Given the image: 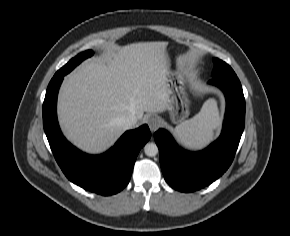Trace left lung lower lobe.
Returning <instances> with one entry per match:
<instances>
[{
  "mask_svg": "<svg viewBox=\"0 0 290 236\" xmlns=\"http://www.w3.org/2000/svg\"><path fill=\"white\" fill-rule=\"evenodd\" d=\"M226 97V113L220 137L206 149L189 152L180 148L170 133L154 134L166 182L174 189L192 192L218 179L231 165L245 125V99L238 77L225 75L209 81Z\"/></svg>",
  "mask_w": 290,
  "mask_h": 236,
  "instance_id": "1",
  "label": "left lung lower lobe"
}]
</instances>
